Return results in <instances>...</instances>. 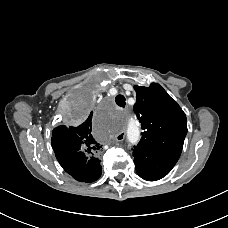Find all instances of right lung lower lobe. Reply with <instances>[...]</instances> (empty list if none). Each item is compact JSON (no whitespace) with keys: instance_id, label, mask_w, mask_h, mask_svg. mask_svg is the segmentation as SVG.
<instances>
[{"instance_id":"obj_1","label":"right lung lower lobe","mask_w":228,"mask_h":228,"mask_svg":"<svg viewBox=\"0 0 228 228\" xmlns=\"http://www.w3.org/2000/svg\"><path fill=\"white\" fill-rule=\"evenodd\" d=\"M91 159H95L96 163L94 164L95 169H94V173L91 176H87L85 174H81V170L77 171V169H75L73 167L74 162L72 161L73 159L71 158H67V159H62L59 161V163L61 164V166L64 168V170L69 173L73 178H75L78 181H82V182H92L97 180L100 175H101V165H100V160L97 158H90Z\"/></svg>"}]
</instances>
